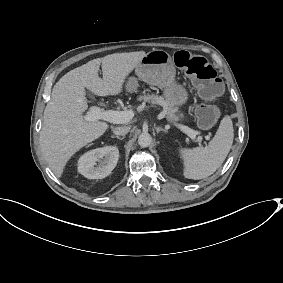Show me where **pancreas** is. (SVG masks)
I'll use <instances>...</instances> for the list:
<instances>
[{"label":"pancreas","mask_w":283,"mask_h":283,"mask_svg":"<svg viewBox=\"0 0 283 283\" xmlns=\"http://www.w3.org/2000/svg\"><path fill=\"white\" fill-rule=\"evenodd\" d=\"M137 100L162 106L164 109L163 112L166 114L167 120L172 121L174 123L178 121V118L175 114L177 112V109L174 108L172 103L164 97L155 94H144L140 95Z\"/></svg>","instance_id":"obj_1"}]
</instances>
